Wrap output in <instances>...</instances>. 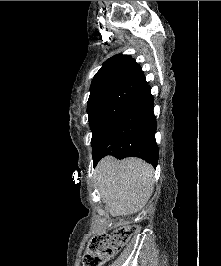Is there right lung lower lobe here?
I'll return each mask as SVG.
<instances>
[{
	"mask_svg": "<svg viewBox=\"0 0 221 266\" xmlns=\"http://www.w3.org/2000/svg\"><path fill=\"white\" fill-rule=\"evenodd\" d=\"M153 107V96L147 84L93 153L94 165L102 157L113 155L119 159L139 157L156 167L159 151L155 141L157 123Z\"/></svg>",
	"mask_w": 221,
	"mask_h": 266,
	"instance_id": "98d812e1",
	"label": "right lung lower lobe"
}]
</instances>
